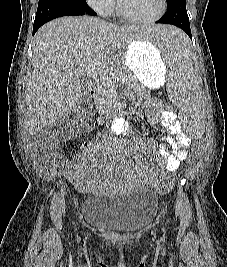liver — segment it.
Returning a JSON list of instances; mask_svg holds the SVG:
<instances>
[{
  "instance_id": "obj_1",
  "label": "liver",
  "mask_w": 227,
  "mask_h": 267,
  "mask_svg": "<svg viewBox=\"0 0 227 267\" xmlns=\"http://www.w3.org/2000/svg\"><path fill=\"white\" fill-rule=\"evenodd\" d=\"M131 25L96 17H62L42 26L33 39V72L27 84L26 127L32 135L69 114L85 87L74 74L93 65L99 71L119 67L118 50L135 40Z\"/></svg>"
}]
</instances>
